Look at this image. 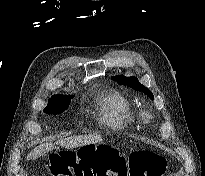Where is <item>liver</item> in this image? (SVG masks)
<instances>
[{
	"label": "liver",
	"mask_w": 205,
	"mask_h": 176,
	"mask_svg": "<svg viewBox=\"0 0 205 176\" xmlns=\"http://www.w3.org/2000/svg\"><path fill=\"white\" fill-rule=\"evenodd\" d=\"M102 141V137L100 135H82V136H71L61 140H58L56 144L61 145L67 149H72L76 147H81L89 144H96ZM54 148V143H46L41 144L32 150L27 155V160L37 159L43 156L45 153L50 152Z\"/></svg>",
	"instance_id": "1"
}]
</instances>
